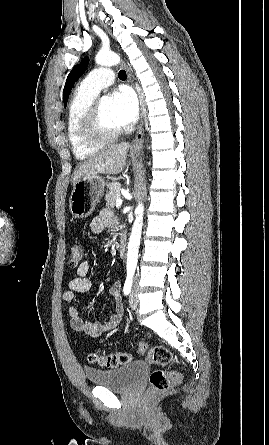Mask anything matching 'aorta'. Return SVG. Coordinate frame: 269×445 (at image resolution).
<instances>
[{
    "mask_svg": "<svg viewBox=\"0 0 269 445\" xmlns=\"http://www.w3.org/2000/svg\"><path fill=\"white\" fill-rule=\"evenodd\" d=\"M95 61L98 65L102 66H113L117 65L120 62L119 56L114 52H103L100 51L96 57ZM111 102V98L108 96H103L101 98V105H108ZM143 213L144 206L142 203H139L136 207V219L134 221L132 232L130 235L129 243H128V252H127V274L133 275L138 262V250L141 239V231L143 225Z\"/></svg>",
    "mask_w": 269,
    "mask_h": 445,
    "instance_id": "obj_1",
    "label": "aorta"
}]
</instances>
